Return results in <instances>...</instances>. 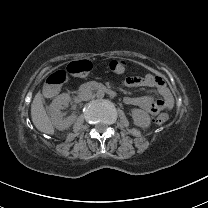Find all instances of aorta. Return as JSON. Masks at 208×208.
<instances>
[{"label": "aorta", "instance_id": "1", "mask_svg": "<svg viewBox=\"0 0 208 208\" xmlns=\"http://www.w3.org/2000/svg\"><path fill=\"white\" fill-rule=\"evenodd\" d=\"M104 95H105V93L102 90H98L97 93H96V97L97 98H100V99L103 98Z\"/></svg>", "mask_w": 208, "mask_h": 208}]
</instances>
